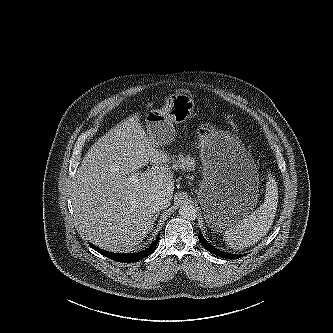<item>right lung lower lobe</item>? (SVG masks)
<instances>
[{
    "mask_svg": "<svg viewBox=\"0 0 333 333\" xmlns=\"http://www.w3.org/2000/svg\"><path fill=\"white\" fill-rule=\"evenodd\" d=\"M158 241H159V237L157 236V238L149 246V248H147L143 251H140V252L128 253V254L111 253V252H107L102 249H99L93 245H90V246L94 250H96L98 253H100L114 261H118V262H122V263H129V262H137V261L149 256L150 254H152L154 252V250L156 249Z\"/></svg>",
    "mask_w": 333,
    "mask_h": 333,
    "instance_id": "obj_1",
    "label": "right lung lower lobe"
}]
</instances>
